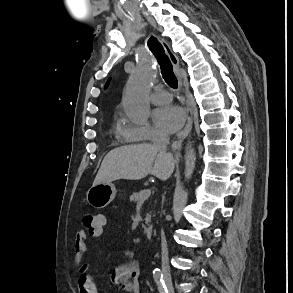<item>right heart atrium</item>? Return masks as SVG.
<instances>
[{
    "instance_id": "right-heart-atrium-1",
    "label": "right heart atrium",
    "mask_w": 293,
    "mask_h": 293,
    "mask_svg": "<svg viewBox=\"0 0 293 293\" xmlns=\"http://www.w3.org/2000/svg\"><path fill=\"white\" fill-rule=\"evenodd\" d=\"M124 136L128 140L148 141L165 137V135L149 123L127 124Z\"/></svg>"
}]
</instances>
